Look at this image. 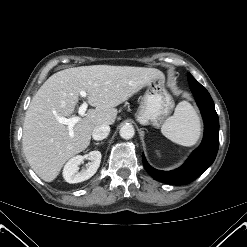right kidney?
Returning <instances> with one entry per match:
<instances>
[{
	"label": "right kidney",
	"mask_w": 247,
	"mask_h": 247,
	"mask_svg": "<svg viewBox=\"0 0 247 247\" xmlns=\"http://www.w3.org/2000/svg\"><path fill=\"white\" fill-rule=\"evenodd\" d=\"M101 152L91 151L81 156L77 155L71 158L64 166L63 177L68 183H79L91 178L97 171L101 162ZM84 159L90 161L88 168L79 171V165Z\"/></svg>",
	"instance_id": "right-kidney-1"
}]
</instances>
